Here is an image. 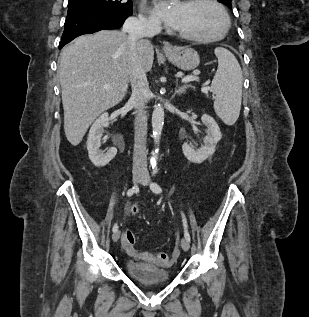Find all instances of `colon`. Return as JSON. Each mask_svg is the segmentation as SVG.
Listing matches in <instances>:
<instances>
[{"label": "colon", "mask_w": 309, "mask_h": 317, "mask_svg": "<svg viewBox=\"0 0 309 317\" xmlns=\"http://www.w3.org/2000/svg\"><path fill=\"white\" fill-rule=\"evenodd\" d=\"M131 213L132 214H137L138 213V208L137 206H132L131 207ZM122 243L125 247H133L135 244V236L131 231H126L123 235L122 238ZM159 262L162 265H169L170 263L168 262V255L165 253H161L159 255Z\"/></svg>", "instance_id": "colon-1"}]
</instances>
